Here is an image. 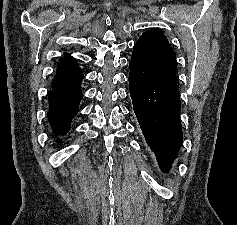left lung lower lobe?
<instances>
[{
    "instance_id": "obj_1",
    "label": "left lung lower lobe",
    "mask_w": 237,
    "mask_h": 225,
    "mask_svg": "<svg viewBox=\"0 0 237 225\" xmlns=\"http://www.w3.org/2000/svg\"><path fill=\"white\" fill-rule=\"evenodd\" d=\"M133 109L162 172L171 169L183 141L180 94L175 86H150L129 74Z\"/></svg>"
}]
</instances>
